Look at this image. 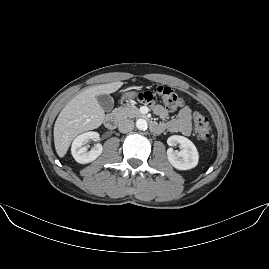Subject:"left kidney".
<instances>
[{"label": "left kidney", "mask_w": 269, "mask_h": 269, "mask_svg": "<svg viewBox=\"0 0 269 269\" xmlns=\"http://www.w3.org/2000/svg\"><path fill=\"white\" fill-rule=\"evenodd\" d=\"M167 144L171 147L180 145L181 151L176 152L173 148L167 150L168 161L173 167L179 170H188L198 164V151L195 145L188 138L179 135L170 136Z\"/></svg>", "instance_id": "5707ae66"}]
</instances>
